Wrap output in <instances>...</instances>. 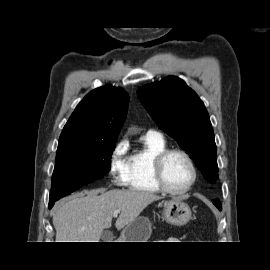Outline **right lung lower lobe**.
<instances>
[{"mask_svg":"<svg viewBox=\"0 0 270 270\" xmlns=\"http://www.w3.org/2000/svg\"><path fill=\"white\" fill-rule=\"evenodd\" d=\"M54 202H55V200L54 201H49V208H51L54 205Z\"/></svg>","mask_w":270,"mask_h":270,"instance_id":"98d812e1","label":"right lung lower lobe"}]
</instances>
